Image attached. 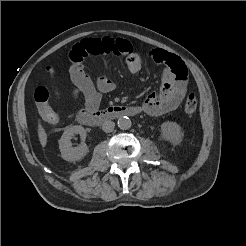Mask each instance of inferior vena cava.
<instances>
[{"label":"inferior vena cava","mask_w":246,"mask_h":246,"mask_svg":"<svg viewBox=\"0 0 246 246\" xmlns=\"http://www.w3.org/2000/svg\"><path fill=\"white\" fill-rule=\"evenodd\" d=\"M115 127V123L111 120H107L102 124V130L106 133L112 132Z\"/></svg>","instance_id":"1"}]
</instances>
